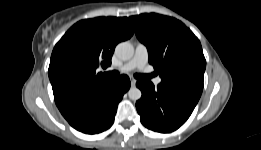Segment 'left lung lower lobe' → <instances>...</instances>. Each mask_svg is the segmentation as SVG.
<instances>
[{
    "instance_id": "0a47b994",
    "label": "left lung lower lobe",
    "mask_w": 261,
    "mask_h": 150,
    "mask_svg": "<svg viewBox=\"0 0 261 150\" xmlns=\"http://www.w3.org/2000/svg\"><path fill=\"white\" fill-rule=\"evenodd\" d=\"M142 97L136 102L141 123L156 132L169 133L183 125L193 112L203 86L186 80L137 81Z\"/></svg>"
}]
</instances>
